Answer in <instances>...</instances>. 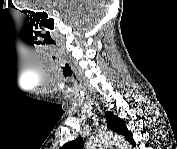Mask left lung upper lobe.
Listing matches in <instances>:
<instances>
[{"mask_svg":"<svg viewBox=\"0 0 177 149\" xmlns=\"http://www.w3.org/2000/svg\"><path fill=\"white\" fill-rule=\"evenodd\" d=\"M106 119L109 124V128L119 134L124 135L127 139H129L134 145L135 142L132 139V133L127 129L123 120L115 116L112 112L106 113ZM83 139L77 138L74 141L68 142L63 145V149H82L83 147Z\"/></svg>","mask_w":177,"mask_h":149,"instance_id":"left-lung-upper-lobe-1","label":"left lung upper lobe"}]
</instances>
